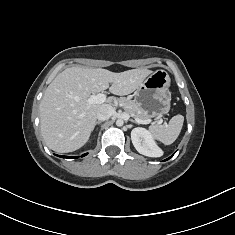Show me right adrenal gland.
Listing matches in <instances>:
<instances>
[{
  "label": "right adrenal gland",
  "instance_id": "right-adrenal-gland-1",
  "mask_svg": "<svg viewBox=\"0 0 235 235\" xmlns=\"http://www.w3.org/2000/svg\"><path fill=\"white\" fill-rule=\"evenodd\" d=\"M101 123H102V121H97L95 125H99Z\"/></svg>",
  "mask_w": 235,
  "mask_h": 235
}]
</instances>
